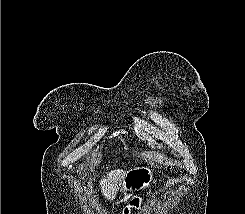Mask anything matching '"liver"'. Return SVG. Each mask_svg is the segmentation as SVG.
Listing matches in <instances>:
<instances>
[{
  "instance_id": "1",
  "label": "liver",
  "mask_w": 245,
  "mask_h": 214,
  "mask_svg": "<svg viewBox=\"0 0 245 214\" xmlns=\"http://www.w3.org/2000/svg\"><path fill=\"white\" fill-rule=\"evenodd\" d=\"M126 171L121 169L111 170L107 176H103L100 181V187L104 197L113 201L116 197L118 190L122 187Z\"/></svg>"
}]
</instances>
